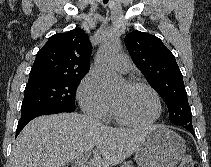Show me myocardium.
<instances>
[{
    "mask_svg": "<svg viewBox=\"0 0 211 167\" xmlns=\"http://www.w3.org/2000/svg\"><path fill=\"white\" fill-rule=\"evenodd\" d=\"M126 84H127V86L132 87V88L141 87V88H145V89L149 90L155 97L156 104H157V113L151 120L144 121V122L134 121V120H131V119L123 116L117 110L115 104L112 102L113 113H114V116L116 117V119L124 125L136 126V127L150 126V125L154 124L155 122H157L162 115L163 108H162V102H161L160 95L156 91V89L154 87H152L150 84L145 83L143 81H139V80H129L126 82Z\"/></svg>",
    "mask_w": 211,
    "mask_h": 167,
    "instance_id": "1",
    "label": "myocardium"
}]
</instances>
